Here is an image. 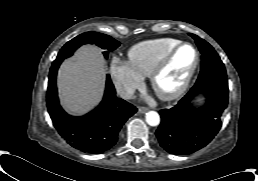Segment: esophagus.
<instances>
[{
    "label": "esophagus",
    "mask_w": 258,
    "mask_h": 181,
    "mask_svg": "<svg viewBox=\"0 0 258 181\" xmlns=\"http://www.w3.org/2000/svg\"><path fill=\"white\" fill-rule=\"evenodd\" d=\"M147 111H148V108H147V107H139V108H138V112H139V113H142V114H143V113H146Z\"/></svg>",
    "instance_id": "34e87169"
}]
</instances>
